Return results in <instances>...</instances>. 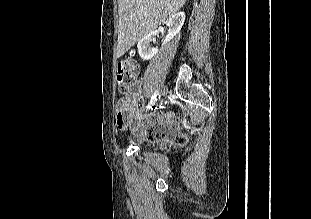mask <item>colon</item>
I'll return each instance as SVG.
<instances>
[{
  "mask_svg": "<svg viewBox=\"0 0 311 219\" xmlns=\"http://www.w3.org/2000/svg\"><path fill=\"white\" fill-rule=\"evenodd\" d=\"M138 71H139L138 65L135 63L134 60L130 58H123V59L118 60L116 82H117V88L119 92L122 94V99H120L119 102H122V103L129 102L128 94L131 93L133 90L135 80L138 75ZM169 131L170 129L164 126L163 133H166ZM173 136L174 138L172 140L175 142L181 143L184 141V139L180 136H176L174 134ZM151 138L158 139L159 136L152 135Z\"/></svg>",
  "mask_w": 311,
  "mask_h": 219,
  "instance_id": "5ec220e1",
  "label": "colon"
}]
</instances>
